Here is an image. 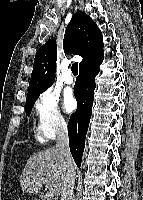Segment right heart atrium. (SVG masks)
I'll list each match as a JSON object with an SVG mask.
<instances>
[{
    "label": "right heart atrium",
    "instance_id": "d8ad5b80",
    "mask_svg": "<svg viewBox=\"0 0 143 200\" xmlns=\"http://www.w3.org/2000/svg\"><path fill=\"white\" fill-rule=\"evenodd\" d=\"M35 109L39 121V136L43 140L55 138L67 125L59 106L58 95L51 89L43 91L37 98Z\"/></svg>",
    "mask_w": 143,
    "mask_h": 200
}]
</instances>
